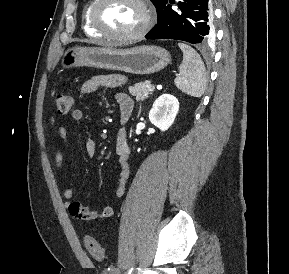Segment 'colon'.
Here are the masks:
<instances>
[{"mask_svg":"<svg viewBox=\"0 0 289 274\" xmlns=\"http://www.w3.org/2000/svg\"><path fill=\"white\" fill-rule=\"evenodd\" d=\"M54 106L58 114L65 115L71 110L73 106V98L68 93H58L54 98ZM85 245L88 252L94 259L98 261L104 259V250L96 239L93 237H87L85 240Z\"/></svg>","mask_w":289,"mask_h":274,"instance_id":"colon-1","label":"colon"}]
</instances>
